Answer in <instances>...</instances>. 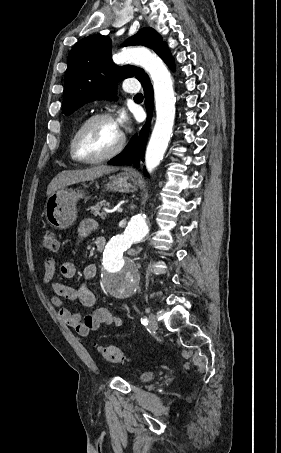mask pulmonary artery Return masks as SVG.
I'll return each mask as SVG.
<instances>
[{
	"label": "pulmonary artery",
	"instance_id": "pulmonary-artery-1",
	"mask_svg": "<svg viewBox=\"0 0 281 453\" xmlns=\"http://www.w3.org/2000/svg\"><path fill=\"white\" fill-rule=\"evenodd\" d=\"M123 89H124L125 91H129V92H130V89H128L125 85H123Z\"/></svg>",
	"mask_w": 281,
	"mask_h": 453
}]
</instances>
